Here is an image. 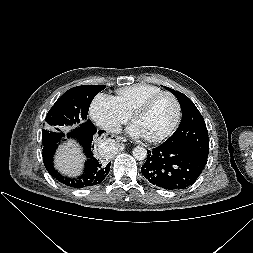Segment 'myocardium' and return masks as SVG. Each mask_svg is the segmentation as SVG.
Here are the masks:
<instances>
[{
	"mask_svg": "<svg viewBox=\"0 0 253 253\" xmlns=\"http://www.w3.org/2000/svg\"><path fill=\"white\" fill-rule=\"evenodd\" d=\"M163 96H169L175 105V109H176V114H175V119L172 123V125L169 127V129L164 132L162 135L157 136V137H147V139L150 142H154V143H158V142H162L164 140H166L167 138H169L178 128L180 121H181V117H182V109H181V105L180 102L178 100V98L169 91H161L151 97H149L148 99H146L144 102H142L138 108L132 113L131 115V121L134 123L135 120L142 116L143 114H145L151 107L152 105L161 97Z\"/></svg>",
	"mask_w": 253,
	"mask_h": 253,
	"instance_id": "myocardium-1",
	"label": "myocardium"
}]
</instances>
